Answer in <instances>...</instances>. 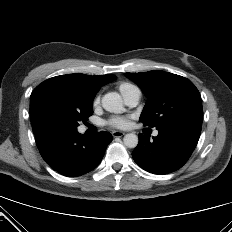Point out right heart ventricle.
<instances>
[{
  "mask_svg": "<svg viewBox=\"0 0 232 232\" xmlns=\"http://www.w3.org/2000/svg\"><path fill=\"white\" fill-rule=\"evenodd\" d=\"M118 90L120 91L122 96L126 98L127 96L131 95L133 92L138 90V87L129 82H121L118 85Z\"/></svg>",
  "mask_w": 232,
  "mask_h": 232,
  "instance_id": "1",
  "label": "right heart ventricle"
}]
</instances>
